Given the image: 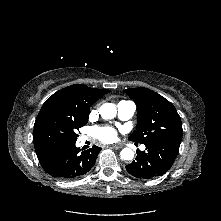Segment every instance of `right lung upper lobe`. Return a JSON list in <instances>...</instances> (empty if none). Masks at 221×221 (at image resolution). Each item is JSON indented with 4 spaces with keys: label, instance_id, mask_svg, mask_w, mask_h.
I'll use <instances>...</instances> for the list:
<instances>
[{
    "label": "right lung upper lobe",
    "instance_id": "1",
    "mask_svg": "<svg viewBox=\"0 0 221 221\" xmlns=\"http://www.w3.org/2000/svg\"><path fill=\"white\" fill-rule=\"evenodd\" d=\"M109 91L108 89H95L74 84L54 93L41 109L58 108L72 114V116L89 118L91 105Z\"/></svg>",
    "mask_w": 221,
    "mask_h": 221
}]
</instances>
